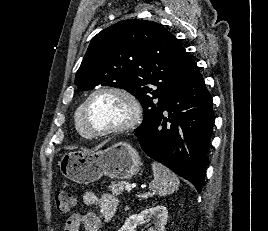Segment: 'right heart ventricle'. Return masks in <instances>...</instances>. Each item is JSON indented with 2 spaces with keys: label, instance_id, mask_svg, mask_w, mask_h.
<instances>
[{
  "label": "right heart ventricle",
  "instance_id": "right-heart-ventricle-1",
  "mask_svg": "<svg viewBox=\"0 0 268 231\" xmlns=\"http://www.w3.org/2000/svg\"><path fill=\"white\" fill-rule=\"evenodd\" d=\"M81 109L82 105L78 106L74 113V124L77 132L82 136L87 137L86 129L83 125Z\"/></svg>",
  "mask_w": 268,
  "mask_h": 231
}]
</instances>
